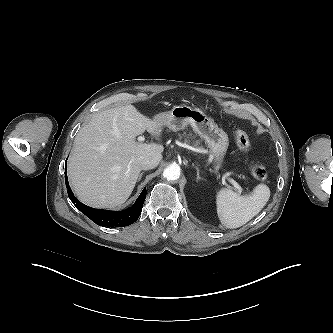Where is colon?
Here are the masks:
<instances>
[{
	"instance_id": "obj_1",
	"label": "colon",
	"mask_w": 333,
	"mask_h": 333,
	"mask_svg": "<svg viewBox=\"0 0 333 333\" xmlns=\"http://www.w3.org/2000/svg\"><path fill=\"white\" fill-rule=\"evenodd\" d=\"M235 138L238 148L242 152L247 153L250 149V140L247 133L244 130L237 128L235 130ZM251 174L255 179L260 181L265 180L267 178V170L261 164L253 165L251 167Z\"/></svg>"
}]
</instances>
